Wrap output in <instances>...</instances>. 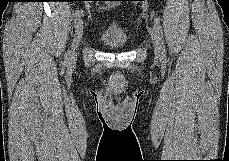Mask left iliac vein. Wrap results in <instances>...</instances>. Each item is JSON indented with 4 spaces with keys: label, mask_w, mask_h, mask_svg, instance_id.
<instances>
[{
    "label": "left iliac vein",
    "mask_w": 229,
    "mask_h": 161,
    "mask_svg": "<svg viewBox=\"0 0 229 161\" xmlns=\"http://www.w3.org/2000/svg\"><path fill=\"white\" fill-rule=\"evenodd\" d=\"M151 40L154 46V51L157 56L161 55V46L157 32L154 29L150 30Z\"/></svg>",
    "instance_id": "left-iliac-vein-1"
}]
</instances>
